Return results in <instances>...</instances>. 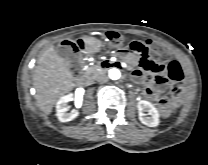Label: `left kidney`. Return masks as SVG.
Here are the masks:
<instances>
[{"label": "left kidney", "instance_id": "obj_1", "mask_svg": "<svg viewBox=\"0 0 208 165\" xmlns=\"http://www.w3.org/2000/svg\"><path fill=\"white\" fill-rule=\"evenodd\" d=\"M139 120L148 127H157L159 125V112L154 105L146 100H141L137 104ZM148 112L150 117H147Z\"/></svg>", "mask_w": 208, "mask_h": 165}]
</instances>
